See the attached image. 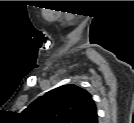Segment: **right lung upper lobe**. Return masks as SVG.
Here are the masks:
<instances>
[{
	"instance_id": "right-lung-upper-lobe-1",
	"label": "right lung upper lobe",
	"mask_w": 134,
	"mask_h": 123,
	"mask_svg": "<svg viewBox=\"0 0 134 123\" xmlns=\"http://www.w3.org/2000/svg\"><path fill=\"white\" fill-rule=\"evenodd\" d=\"M22 113L32 123H97L92 96L72 84L47 92Z\"/></svg>"
}]
</instances>
